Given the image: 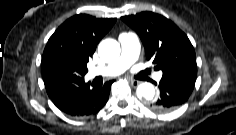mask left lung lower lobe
Masks as SVG:
<instances>
[{
  "label": "left lung lower lobe",
  "mask_w": 236,
  "mask_h": 135,
  "mask_svg": "<svg viewBox=\"0 0 236 135\" xmlns=\"http://www.w3.org/2000/svg\"><path fill=\"white\" fill-rule=\"evenodd\" d=\"M197 71L165 73L159 83L160 96L150 107L159 112H169L184 104L192 93Z\"/></svg>",
  "instance_id": "obj_1"
}]
</instances>
